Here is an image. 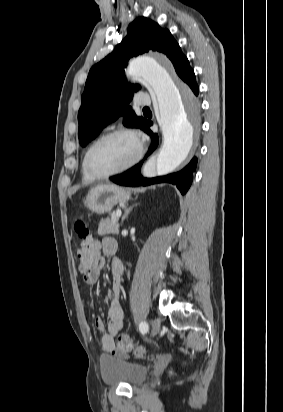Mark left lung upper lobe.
Listing matches in <instances>:
<instances>
[{
	"label": "left lung upper lobe",
	"mask_w": 283,
	"mask_h": 412,
	"mask_svg": "<svg viewBox=\"0 0 283 412\" xmlns=\"http://www.w3.org/2000/svg\"><path fill=\"white\" fill-rule=\"evenodd\" d=\"M150 50L164 53L182 80L193 71L169 30L144 17L135 19L128 27V35L115 51L89 72L78 112V137L82 146L95 139L107 124L120 116H123V124L127 127H146L149 120L136 116L128 106L132 91H137L140 86L126 82L124 67L131 57Z\"/></svg>",
	"instance_id": "5c2ea615"
}]
</instances>
